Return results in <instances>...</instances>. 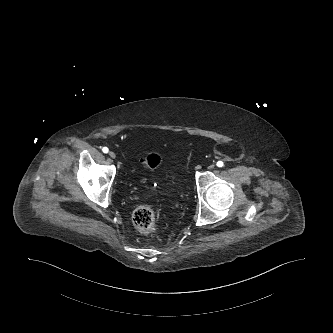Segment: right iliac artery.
<instances>
[{"label":"right iliac artery","instance_id":"82829eb1","mask_svg":"<svg viewBox=\"0 0 333 333\" xmlns=\"http://www.w3.org/2000/svg\"><path fill=\"white\" fill-rule=\"evenodd\" d=\"M102 151H103L104 153H108L109 149H108L107 147H103V148H102Z\"/></svg>","mask_w":333,"mask_h":333}]
</instances>
